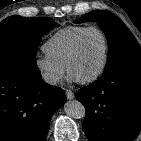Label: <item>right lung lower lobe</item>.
<instances>
[{
	"instance_id": "right-lung-lower-lobe-1",
	"label": "right lung lower lobe",
	"mask_w": 141,
	"mask_h": 141,
	"mask_svg": "<svg viewBox=\"0 0 141 141\" xmlns=\"http://www.w3.org/2000/svg\"><path fill=\"white\" fill-rule=\"evenodd\" d=\"M66 101L37 66H0V141H44L53 113Z\"/></svg>"
}]
</instances>
